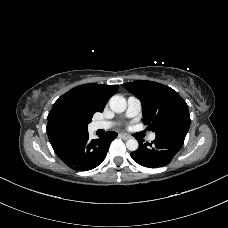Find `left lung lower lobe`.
Segmentation results:
<instances>
[{
  "mask_svg": "<svg viewBox=\"0 0 228 228\" xmlns=\"http://www.w3.org/2000/svg\"><path fill=\"white\" fill-rule=\"evenodd\" d=\"M186 134L172 132L156 135L152 143L139 140V148L131 153L132 159L144 167L157 168L169 164L182 148Z\"/></svg>",
  "mask_w": 228,
  "mask_h": 228,
  "instance_id": "left-lung-lower-lobe-1",
  "label": "left lung lower lobe"
}]
</instances>
